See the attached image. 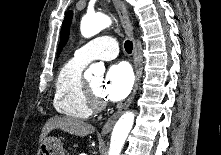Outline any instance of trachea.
I'll list each match as a JSON object with an SVG mask.
<instances>
[{"label":"trachea","instance_id":"3493384b","mask_svg":"<svg viewBox=\"0 0 221 155\" xmlns=\"http://www.w3.org/2000/svg\"><path fill=\"white\" fill-rule=\"evenodd\" d=\"M125 50L128 54H131L132 49H133V43L131 41H126L124 44Z\"/></svg>","mask_w":221,"mask_h":155}]
</instances>
